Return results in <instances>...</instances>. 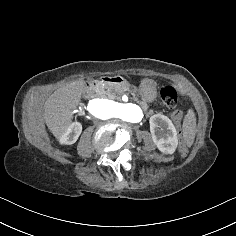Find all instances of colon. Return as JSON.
<instances>
[{
  "label": "colon",
  "mask_w": 236,
  "mask_h": 236,
  "mask_svg": "<svg viewBox=\"0 0 236 236\" xmlns=\"http://www.w3.org/2000/svg\"><path fill=\"white\" fill-rule=\"evenodd\" d=\"M160 95L164 104L168 108L173 109L176 107L178 102V94L174 87L169 85L163 86L161 88ZM181 119H182L181 113L179 111H174L172 114V120L177 127L180 126Z\"/></svg>",
  "instance_id": "colon-1"
}]
</instances>
